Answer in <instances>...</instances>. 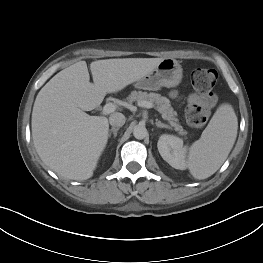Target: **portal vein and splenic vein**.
Returning <instances> with one entry per match:
<instances>
[{
    "label": "portal vein and splenic vein",
    "instance_id": "obj_1",
    "mask_svg": "<svg viewBox=\"0 0 263 263\" xmlns=\"http://www.w3.org/2000/svg\"><path fill=\"white\" fill-rule=\"evenodd\" d=\"M139 106L150 109V108L154 107V104L152 102H150V101H142V102L139 103ZM116 108H117V106L114 103H107L103 107L102 113L104 115L110 114V113L114 112L116 110Z\"/></svg>",
    "mask_w": 263,
    "mask_h": 263
}]
</instances>
